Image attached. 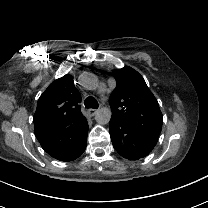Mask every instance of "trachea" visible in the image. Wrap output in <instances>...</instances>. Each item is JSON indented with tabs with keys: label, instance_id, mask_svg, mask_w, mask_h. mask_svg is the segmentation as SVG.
<instances>
[{
	"label": "trachea",
	"instance_id": "1",
	"mask_svg": "<svg viewBox=\"0 0 208 208\" xmlns=\"http://www.w3.org/2000/svg\"><path fill=\"white\" fill-rule=\"evenodd\" d=\"M84 105L86 108H94V109L98 108L99 106L97 100L92 96H89L85 99Z\"/></svg>",
	"mask_w": 208,
	"mask_h": 208
}]
</instances>
